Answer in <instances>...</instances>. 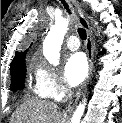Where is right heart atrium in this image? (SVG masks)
<instances>
[{
  "label": "right heart atrium",
  "instance_id": "d8ad5b80",
  "mask_svg": "<svg viewBox=\"0 0 122 123\" xmlns=\"http://www.w3.org/2000/svg\"><path fill=\"white\" fill-rule=\"evenodd\" d=\"M35 92L44 98L60 99L66 95L68 88L59 74L44 62L34 65Z\"/></svg>",
  "mask_w": 122,
  "mask_h": 123
}]
</instances>
